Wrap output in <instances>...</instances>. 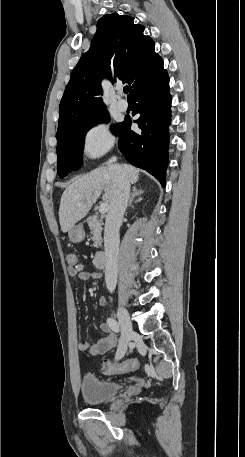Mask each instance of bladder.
<instances>
[{"mask_svg":"<svg viewBox=\"0 0 245 457\" xmlns=\"http://www.w3.org/2000/svg\"><path fill=\"white\" fill-rule=\"evenodd\" d=\"M80 388L87 405L105 403L113 395H117L120 386L118 383L99 380L92 374L83 375Z\"/></svg>","mask_w":245,"mask_h":457,"instance_id":"1","label":"bladder"}]
</instances>
